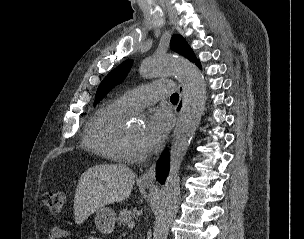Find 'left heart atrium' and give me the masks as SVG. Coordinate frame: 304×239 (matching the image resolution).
<instances>
[{
    "mask_svg": "<svg viewBox=\"0 0 304 239\" xmlns=\"http://www.w3.org/2000/svg\"><path fill=\"white\" fill-rule=\"evenodd\" d=\"M171 125V118L167 111L156 110L141 135L138 138V146L141 152L147 153L157 149Z\"/></svg>",
    "mask_w": 304,
    "mask_h": 239,
    "instance_id": "left-heart-atrium-1",
    "label": "left heart atrium"
}]
</instances>
